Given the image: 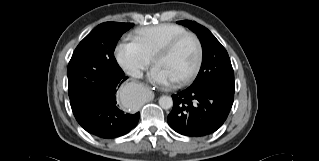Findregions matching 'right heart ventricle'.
<instances>
[{
    "instance_id": "1",
    "label": "right heart ventricle",
    "mask_w": 319,
    "mask_h": 161,
    "mask_svg": "<svg viewBox=\"0 0 319 161\" xmlns=\"http://www.w3.org/2000/svg\"><path fill=\"white\" fill-rule=\"evenodd\" d=\"M185 32L187 31L184 27L169 23L148 26L135 31L133 42L148 59L152 60L164 44Z\"/></svg>"
}]
</instances>
